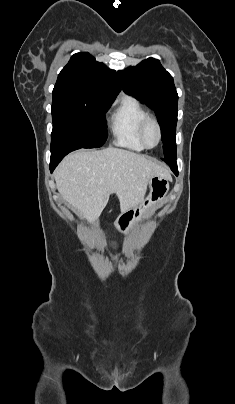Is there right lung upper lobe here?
I'll list each match as a JSON object with an SVG mask.
<instances>
[{"mask_svg": "<svg viewBox=\"0 0 235 404\" xmlns=\"http://www.w3.org/2000/svg\"><path fill=\"white\" fill-rule=\"evenodd\" d=\"M120 91L117 74L89 53L74 54L61 70L53 89L76 97L113 101Z\"/></svg>", "mask_w": 235, "mask_h": 404, "instance_id": "cb5924a9", "label": "right lung upper lobe"}]
</instances>
